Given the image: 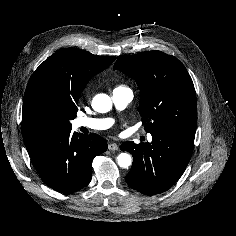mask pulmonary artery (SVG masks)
I'll use <instances>...</instances> for the list:
<instances>
[{"label": "pulmonary artery", "instance_id": "e3ab8cb5", "mask_svg": "<svg viewBox=\"0 0 236 236\" xmlns=\"http://www.w3.org/2000/svg\"><path fill=\"white\" fill-rule=\"evenodd\" d=\"M133 99V92L126 87H117L112 92V101L118 110H123ZM113 123L110 118H88L82 117L75 120L76 128H88L92 130H103L109 128ZM150 138V136H149Z\"/></svg>", "mask_w": 236, "mask_h": 236}]
</instances>
